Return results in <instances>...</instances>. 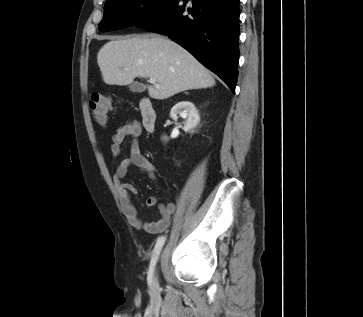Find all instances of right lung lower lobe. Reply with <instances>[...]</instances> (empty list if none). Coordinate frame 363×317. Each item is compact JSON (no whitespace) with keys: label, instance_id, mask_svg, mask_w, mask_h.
Returning a JSON list of instances; mask_svg holds the SVG:
<instances>
[{"label":"right lung lower lobe","instance_id":"obj_1","mask_svg":"<svg viewBox=\"0 0 363 317\" xmlns=\"http://www.w3.org/2000/svg\"><path fill=\"white\" fill-rule=\"evenodd\" d=\"M176 0L136 25L169 36L235 92L239 60V0Z\"/></svg>","mask_w":363,"mask_h":317}]
</instances>
